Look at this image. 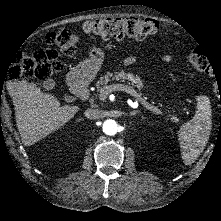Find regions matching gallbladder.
Returning <instances> with one entry per match:
<instances>
[{"instance_id": "gallbladder-1", "label": "gallbladder", "mask_w": 221, "mask_h": 221, "mask_svg": "<svg viewBox=\"0 0 221 221\" xmlns=\"http://www.w3.org/2000/svg\"><path fill=\"white\" fill-rule=\"evenodd\" d=\"M55 86V81L53 79H47L43 82V87L46 90H51Z\"/></svg>"}]
</instances>
